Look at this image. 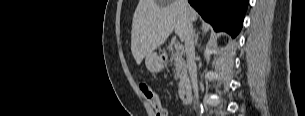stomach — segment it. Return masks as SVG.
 Returning <instances> with one entry per match:
<instances>
[{
    "mask_svg": "<svg viewBox=\"0 0 305 116\" xmlns=\"http://www.w3.org/2000/svg\"><path fill=\"white\" fill-rule=\"evenodd\" d=\"M145 65L152 73L160 72L164 67L162 57L156 52H151L146 56Z\"/></svg>",
    "mask_w": 305,
    "mask_h": 116,
    "instance_id": "1",
    "label": "stomach"
}]
</instances>
